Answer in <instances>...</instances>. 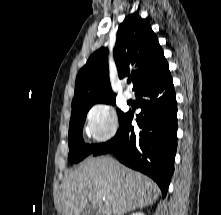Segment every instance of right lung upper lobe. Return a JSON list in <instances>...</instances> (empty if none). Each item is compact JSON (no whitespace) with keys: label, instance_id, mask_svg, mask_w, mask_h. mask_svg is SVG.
<instances>
[{"label":"right lung upper lobe","instance_id":"obj_1","mask_svg":"<svg viewBox=\"0 0 221 215\" xmlns=\"http://www.w3.org/2000/svg\"><path fill=\"white\" fill-rule=\"evenodd\" d=\"M113 56L119 78H132L133 91L169 70L149 21L137 14L127 16L120 24ZM107 57L108 50L101 48L90 56L79 71L72 105L115 99L109 82Z\"/></svg>","mask_w":221,"mask_h":215}]
</instances>
